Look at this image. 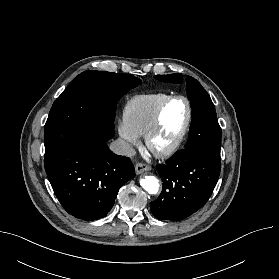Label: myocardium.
<instances>
[{"label": "myocardium", "instance_id": "f54148a6", "mask_svg": "<svg viewBox=\"0 0 279 279\" xmlns=\"http://www.w3.org/2000/svg\"><path fill=\"white\" fill-rule=\"evenodd\" d=\"M178 99L183 100L187 107V117H186L185 124H184L182 130L180 131V133L177 135V137L169 145H167L166 147H164L162 149L156 150L152 146V141H153L154 136L156 135V133L159 131V129L161 127L163 113L169 103H171L174 100H178ZM192 116H193L192 105H191L190 100L186 96L172 95V96L168 97L159 106L152 124L150 125L149 129L145 133L146 147L149 149V151H151L157 157H168V156L172 155L173 153H175L178 150V148L180 147V145L182 144L183 140L185 139V137L189 131V128H190V125L192 122Z\"/></svg>", "mask_w": 279, "mask_h": 279}]
</instances>
